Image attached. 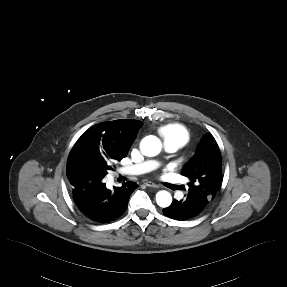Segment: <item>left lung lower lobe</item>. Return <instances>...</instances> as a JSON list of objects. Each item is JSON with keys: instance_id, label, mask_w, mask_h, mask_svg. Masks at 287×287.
<instances>
[{"instance_id": "obj_1", "label": "left lung lower lobe", "mask_w": 287, "mask_h": 287, "mask_svg": "<svg viewBox=\"0 0 287 287\" xmlns=\"http://www.w3.org/2000/svg\"><path fill=\"white\" fill-rule=\"evenodd\" d=\"M205 207V205L187 195L181 201L174 199L169 207L163 209V212L172 219L187 220L199 215Z\"/></svg>"}]
</instances>
